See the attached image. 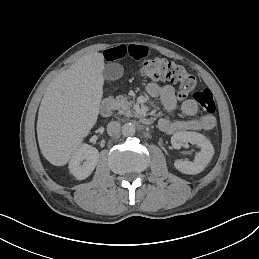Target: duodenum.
I'll return each mask as SVG.
<instances>
[{"label":"duodenum","mask_w":259,"mask_h":259,"mask_svg":"<svg viewBox=\"0 0 259 259\" xmlns=\"http://www.w3.org/2000/svg\"><path fill=\"white\" fill-rule=\"evenodd\" d=\"M100 112L103 116H110L114 109V102L110 98H104L100 103ZM141 122L145 125L152 124L153 120L150 117H143Z\"/></svg>","instance_id":"1"}]
</instances>
